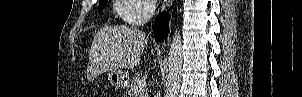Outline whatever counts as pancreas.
Here are the masks:
<instances>
[{
    "label": "pancreas",
    "mask_w": 302,
    "mask_h": 97,
    "mask_svg": "<svg viewBox=\"0 0 302 97\" xmlns=\"http://www.w3.org/2000/svg\"><path fill=\"white\" fill-rule=\"evenodd\" d=\"M140 81L139 77H133L128 84V94L130 97H146V93L144 91L137 92L136 85Z\"/></svg>",
    "instance_id": "pancreas-1"
}]
</instances>
